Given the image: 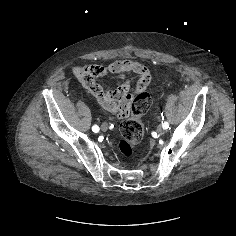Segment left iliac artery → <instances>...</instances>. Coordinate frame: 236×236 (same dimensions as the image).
Returning a JSON list of instances; mask_svg holds the SVG:
<instances>
[{"label": "left iliac artery", "instance_id": "44dca946", "mask_svg": "<svg viewBox=\"0 0 236 236\" xmlns=\"http://www.w3.org/2000/svg\"><path fill=\"white\" fill-rule=\"evenodd\" d=\"M162 127H163L164 129H168V128H169L168 122H163V123H162Z\"/></svg>", "mask_w": 236, "mask_h": 236}]
</instances>
